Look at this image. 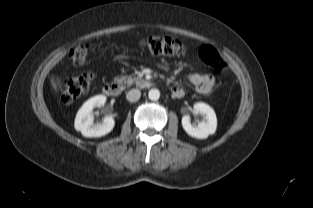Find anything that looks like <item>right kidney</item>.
<instances>
[{"mask_svg":"<svg viewBox=\"0 0 313 208\" xmlns=\"http://www.w3.org/2000/svg\"><path fill=\"white\" fill-rule=\"evenodd\" d=\"M106 102V96L97 95L87 100L76 114L74 127L84 137H102L110 133L115 125L112 116H106L102 123L94 124L92 111L95 107H102Z\"/></svg>","mask_w":313,"mask_h":208,"instance_id":"ca27d5eb","label":"right kidney"}]
</instances>
